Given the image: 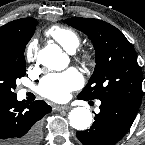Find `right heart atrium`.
Masks as SVG:
<instances>
[{"label":"right heart atrium","mask_w":145,"mask_h":145,"mask_svg":"<svg viewBox=\"0 0 145 145\" xmlns=\"http://www.w3.org/2000/svg\"><path fill=\"white\" fill-rule=\"evenodd\" d=\"M38 44L36 41L31 42L26 49V59L31 62L34 61L37 57Z\"/></svg>","instance_id":"obj_1"}]
</instances>
